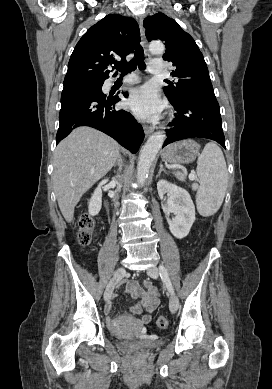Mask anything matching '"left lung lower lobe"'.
Masks as SVG:
<instances>
[{"mask_svg":"<svg viewBox=\"0 0 272 389\" xmlns=\"http://www.w3.org/2000/svg\"><path fill=\"white\" fill-rule=\"evenodd\" d=\"M177 111L167 131L166 145L186 138L215 140L225 148L220 108L212 87L187 91L178 102H171Z\"/></svg>","mask_w":272,"mask_h":389,"instance_id":"left-lung-lower-lobe-1","label":"left lung lower lobe"}]
</instances>
